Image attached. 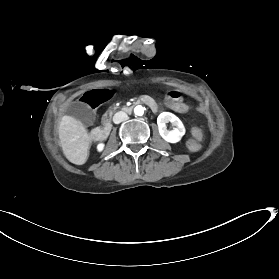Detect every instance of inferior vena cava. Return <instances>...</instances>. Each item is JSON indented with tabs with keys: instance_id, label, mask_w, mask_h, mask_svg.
<instances>
[{
	"instance_id": "obj_1",
	"label": "inferior vena cava",
	"mask_w": 279,
	"mask_h": 279,
	"mask_svg": "<svg viewBox=\"0 0 279 279\" xmlns=\"http://www.w3.org/2000/svg\"><path fill=\"white\" fill-rule=\"evenodd\" d=\"M127 118H128L127 114L125 112L120 111L119 113L115 114V116L113 117V121L114 123L118 124Z\"/></svg>"
}]
</instances>
